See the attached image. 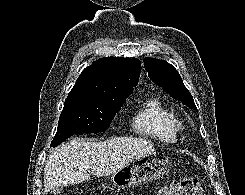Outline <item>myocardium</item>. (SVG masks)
Returning a JSON list of instances; mask_svg holds the SVG:
<instances>
[{
	"label": "myocardium",
	"instance_id": "f54148a6",
	"mask_svg": "<svg viewBox=\"0 0 245 195\" xmlns=\"http://www.w3.org/2000/svg\"><path fill=\"white\" fill-rule=\"evenodd\" d=\"M172 125H173V128L174 130L177 132V131H180L184 128V125L182 123L181 120L177 119V118H173L172 120Z\"/></svg>",
	"mask_w": 245,
	"mask_h": 195
}]
</instances>
